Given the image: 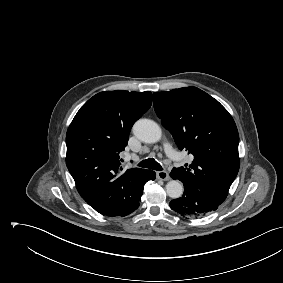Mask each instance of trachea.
I'll use <instances>...</instances> for the list:
<instances>
[{
  "label": "trachea",
  "mask_w": 283,
  "mask_h": 283,
  "mask_svg": "<svg viewBox=\"0 0 283 283\" xmlns=\"http://www.w3.org/2000/svg\"><path fill=\"white\" fill-rule=\"evenodd\" d=\"M138 166L142 167V168H149V169H153V170H163L162 166L155 161V159L153 158H148L145 160H142Z\"/></svg>",
  "instance_id": "trachea-1"
}]
</instances>
